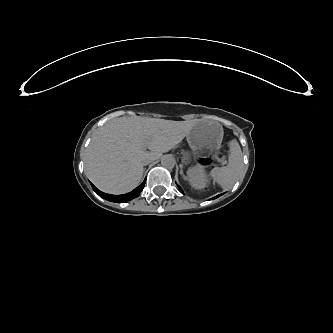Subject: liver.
Instances as JSON below:
<instances>
[{
	"label": "liver",
	"mask_w": 333,
	"mask_h": 333,
	"mask_svg": "<svg viewBox=\"0 0 333 333\" xmlns=\"http://www.w3.org/2000/svg\"><path fill=\"white\" fill-rule=\"evenodd\" d=\"M142 131L151 134L131 138L98 137L92 141L87 150L86 170L98 189L112 194L133 190L142 179L143 160L159 158L184 138L183 133L156 135L161 125L154 120H145Z\"/></svg>",
	"instance_id": "obj_1"
}]
</instances>
